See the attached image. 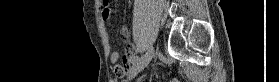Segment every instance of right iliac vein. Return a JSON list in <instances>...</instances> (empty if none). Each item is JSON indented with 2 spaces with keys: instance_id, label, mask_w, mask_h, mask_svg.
<instances>
[{
  "instance_id": "63e3f726",
  "label": "right iliac vein",
  "mask_w": 279,
  "mask_h": 82,
  "mask_svg": "<svg viewBox=\"0 0 279 82\" xmlns=\"http://www.w3.org/2000/svg\"><path fill=\"white\" fill-rule=\"evenodd\" d=\"M153 57V47L151 46L147 53L135 63L129 72V79L134 78L139 72H141L151 61Z\"/></svg>"
}]
</instances>
